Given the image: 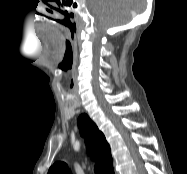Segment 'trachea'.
Listing matches in <instances>:
<instances>
[{
	"label": "trachea",
	"mask_w": 187,
	"mask_h": 174,
	"mask_svg": "<svg viewBox=\"0 0 187 174\" xmlns=\"http://www.w3.org/2000/svg\"><path fill=\"white\" fill-rule=\"evenodd\" d=\"M94 170H95V174H104L103 169H102L101 165H99V164L95 167Z\"/></svg>",
	"instance_id": "3493384b"
}]
</instances>
